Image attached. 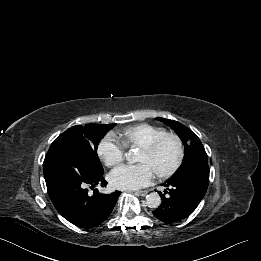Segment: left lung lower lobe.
Masks as SVG:
<instances>
[{"label":"left lung lower lobe","instance_id":"obj_1","mask_svg":"<svg viewBox=\"0 0 261 261\" xmlns=\"http://www.w3.org/2000/svg\"><path fill=\"white\" fill-rule=\"evenodd\" d=\"M208 184V165L167 180L164 186L169 190L168 196L162 195V203L153 214L165 223L186 218L204 197ZM164 192L167 193L166 190Z\"/></svg>","mask_w":261,"mask_h":261}]
</instances>
